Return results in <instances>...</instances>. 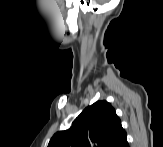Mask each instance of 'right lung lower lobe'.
Returning a JSON list of instances; mask_svg holds the SVG:
<instances>
[{"label":"right lung lower lobe","instance_id":"98d812e1","mask_svg":"<svg viewBox=\"0 0 163 147\" xmlns=\"http://www.w3.org/2000/svg\"><path fill=\"white\" fill-rule=\"evenodd\" d=\"M113 147H129V144L126 139V134L118 140Z\"/></svg>","mask_w":163,"mask_h":147}]
</instances>
